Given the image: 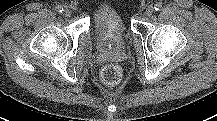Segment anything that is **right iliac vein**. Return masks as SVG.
Instances as JSON below:
<instances>
[{
	"label": "right iliac vein",
	"mask_w": 217,
	"mask_h": 121,
	"mask_svg": "<svg viewBox=\"0 0 217 121\" xmlns=\"http://www.w3.org/2000/svg\"><path fill=\"white\" fill-rule=\"evenodd\" d=\"M63 14L65 17L69 18L71 16V11L69 9H65Z\"/></svg>",
	"instance_id": "1"
}]
</instances>
